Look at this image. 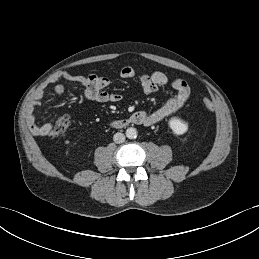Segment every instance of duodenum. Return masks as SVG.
Segmentation results:
<instances>
[{
    "instance_id": "obj_1",
    "label": "duodenum",
    "mask_w": 259,
    "mask_h": 259,
    "mask_svg": "<svg viewBox=\"0 0 259 259\" xmlns=\"http://www.w3.org/2000/svg\"><path fill=\"white\" fill-rule=\"evenodd\" d=\"M132 122H134L133 117L132 118H127V119L115 121L113 123V125L115 127H124V126H127V125L131 124Z\"/></svg>"
}]
</instances>
